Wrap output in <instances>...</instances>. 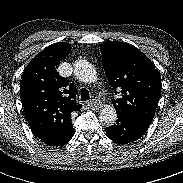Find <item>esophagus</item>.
Segmentation results:
<instances>
[{
    "label": "esophagus",
    "instance_id": "34e87169",
    "mask_svg": "<svg viewBox=\"0 0 183 183\" xmlns=\"http://www.w3.org/2000/svg\"><path fill=\"white\" fill-rule=\"evenodd\" d=\"M85 107L88 109H101L102 108V104L98 101H88L85 103Z\"/></svg>",
    "mask_w": 183,
    "mask_h": 183
}]
</instances>
